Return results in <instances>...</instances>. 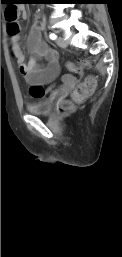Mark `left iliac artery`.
<instances>
[{
    "mask_svg": "<svg viewBox=\"0 0 122 257\" xmlns=\"http://www.w3.org/2000/svg\"><path fill=\"white\" fill-rule=\"evenodd\" d=\"M49 38H50L51 40H55V39L57 38V35H56L55 33H50V34H49Z\"/></svg>",
    "mask_w": 122,
    "mask_h": 257,
    "instance_id": "obj_1",
    "label": "left iliac artery"
}]
</instances>
